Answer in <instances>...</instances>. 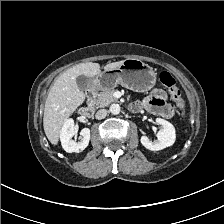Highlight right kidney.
I'll use <instances>...</instances> for the list:
<instances>
[{"label":"right kidney","mask_w":224,"mask_h":224,"mask_svg":"<svg viewBox=\"0 0 224 224\" xmlns=\"http://www.w3.org/2000/svg\"><path fill=\"white\" fill-rule=\"evenodd\" d=\"M75 134V125L73 119H67L60 133V140L63 149L68 152H82L89 144L90 141V129L83 128L80 132L82 139L80 142L72 140L73 135Z\"/></svg>","instance_id":"ca27d5eb"}]
</instances>
